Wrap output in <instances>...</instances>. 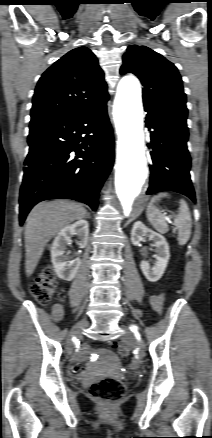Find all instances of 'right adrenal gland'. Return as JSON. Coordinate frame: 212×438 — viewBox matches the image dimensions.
Listing matches in <instances>:
<instances>
[{
    "mask_svg": "<svg viewBox=\"0 0 212 438\" xmlns=\"http://www.w3.org/2000/svg\"><path fill=\"white\" fill-rule=\"evenodd\" d=\"M86 219H91V216H90L89 213H87V215H86Z\"/></svg>",
    "mask_w": 212,
    "mask_h": 438,
    "instance_id": "1",
    "label": "right adrenal gland"
}]
</instances>
